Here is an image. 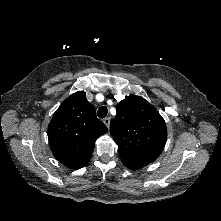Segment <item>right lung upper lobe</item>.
<instances>
[{
    "label": "right lung upper lobe",
    "mask_w": 221,
    "mask_h": 221,
    "mask_svg": "<svg viewBox=\"0 0 221 221\" xmlns=\"http://www.w3.org/2000/svg\"><path fill=\"white\" fill-rule=\"evenodd\" d=\"M107 132L85 93L78 91L54 113L48 126V140L60 163L70 169H79L90 160L96 139Z\"/></svg>",
    "instance_id": "obj_1"
}]
</instances>
